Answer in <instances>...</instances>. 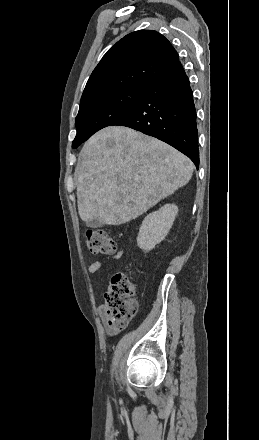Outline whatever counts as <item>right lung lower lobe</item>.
<instances>
[{"label":"right lung lower lobe","instance_id":"1","mask_svg":"<svg viewBox=\"0 0 259 440\" xmlns=\"http://www.w3.org/2000/svg\"><path fill=\"white\" fill-rule=\"evenodd\" d=\"M112 125L130 127L156 137L188 156L199 168L193 93L180 62L152 84L139 102Z\"/></svg>","mask_w":259,"mask_h":440}]
</instances>
